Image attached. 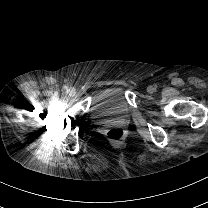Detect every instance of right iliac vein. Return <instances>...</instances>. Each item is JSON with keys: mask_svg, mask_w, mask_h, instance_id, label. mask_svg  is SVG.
<instances>
[{"mask_svg": "<svg viewBox=\"0 0 208 208\" xmlns=\"http://www.w3.org/2000/svg\"><path fill=\"white\" fill-rule=\"evenodd\" d=\"M68 93H69V96H70V97H74L75 94H76L75 88H70V89L68 90Z\"/></svg>", "mask_w": 208, "mask_h": 208, "instance_id": "1", "label": "right iliac vein"}]
</instances>
